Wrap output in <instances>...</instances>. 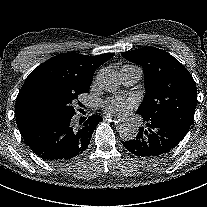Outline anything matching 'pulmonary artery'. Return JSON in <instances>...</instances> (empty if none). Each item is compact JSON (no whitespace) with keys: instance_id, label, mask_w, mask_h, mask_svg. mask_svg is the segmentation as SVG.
Here are the masks:
<instances>
[{"instance_id":"pulmonary-artery-1","label":"pulmonary artery","mask_w":207,"mask_h":207,"mask_svg":"<svg viewBox=\"0 0 207 207\" xmlns=\"http://www.w3.org/2000/svg\"><path fill=\"white\" fill-rule=\"evenodd\" d=\"M120 74L126 85L135 84L141 77V70L135 66H123Z\"/></svg>"}]
</instances>
